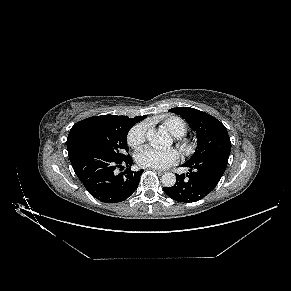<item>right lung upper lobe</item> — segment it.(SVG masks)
I'll use <instances>...</instances> for the list:
<instances>
[{"label": "right lung upper lobe", "instance_id": "1", "mask_svg": "<svg viewBox=\"0 0 291 291\" xmlns=\"http://www.w3.org/2000/svg\"><path fill=\"white\" fill-rule=\"evenodd\" d=\"M146 118L145 116L128 118L127 116H117V115H101L94 116L87 119H84L78 123H76L70 130V133L67 138V149L68 151L77 147L76 139L77 137L86 129L95 127V126H103V125H115V124H123L133 126L139 121Z\"/></svg>", "mask_w": 291, "mask_h": 291}]
</instances>
